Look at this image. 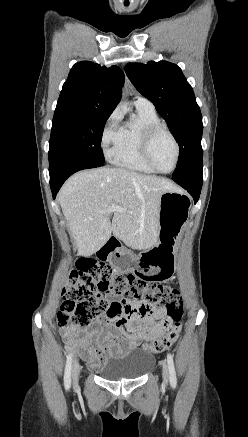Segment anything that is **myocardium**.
<instances>
[{
    "label": "myocardium",
    "mask_w": 248,
    "mask_h": 437,
    "mask_svg": "<svg viewBox=\"0 0 248 437\" xmlns=\"http://www.w3.org/2000/svg\"><path fill=\"white\" fill-rule=\"evenodd\" d=\"M160 132L166 133L172 139L174 146H175L174 164H173V167L168 171H162L159 168H157L156 165L154 164V162L152 160V156H151V146H152L153 140L156 137V135ZM180 153H181L180 144H179L176 136L174 135V133L166 125H164L162 123H155V124H152V125L146 127L143 130L142 137H141V154H142V157H143L145 163L154 172H157L160 174H170L173 171H175V169L177 168L178 163H179Z\"/></svg>",
    "instance_id": "myocardium-1"
}]
</instances>
